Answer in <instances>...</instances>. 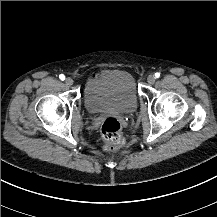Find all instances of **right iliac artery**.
Masks as SVG:
<instances>
[{"instance_id": "obj_1", "label": "right iliac artery", "mask_w": 217, "mask_h": 217, "mask_svg": "<svg viewBox=\"0 0 217 217\" xmlns=\"http://www.w3.org/2000/svg\"><path fill=\"white\" fill-rule=\"evenodd\" d=\"M59 78L63 81L65 79V76L63 74L59 75Z\"/></svg>"}]
</instances>
